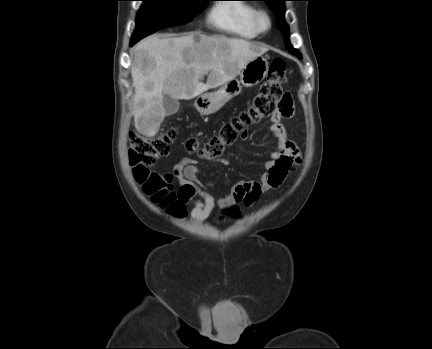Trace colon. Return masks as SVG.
Segmentation results:
<instances>
[{
  "mask_svg": "<svg viewBox=\"0 0 432 349\" xmlns=\"http://www.w3.org/2000/svg\"><path fill=\"white\" fill-rule=\"evenodd\" d=\"M286 79L285 62L274 59L270 64L266 81L251 104L224 123L219 132L206 143L201 144L194 137L188 138L185 142L186 150L202 159L216 160L224 154L228 146L246 134L248 126L277 112L289 113L292 98L290 93L283 89ZM176 137V129L172 127L153 137L131 134L128 152L134 178L143 191L152 201L169 212L182 213L183 205L173 190L171 175L152 169L158 159L169 153Z\"/></svg>",
  "mask_w": 432,
  "mask_h": 349,
  "instance_id": "5ec220e1",
  "label": "colon"
}]
</instances>
